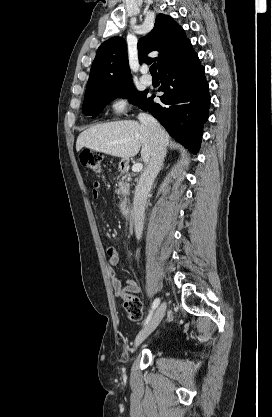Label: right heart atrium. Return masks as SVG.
<instances>
[{
	"label": "right heart atrium",
	"mask_w": 272,
	"mask_h": 417,
	"mask_svg": "<svg viewBox=\"0 0 272 417\" xmlns=\"http://www.w3.org/2000/svg\"><path fill=\"white\" fill-rule=\"evenodd\" d=\"M130 105V97L125 93L116 95L110 102V108L116 114L125 113Z\"/></svg>",
	"instance_id": "d8ad5b80"
}]
</instances>
